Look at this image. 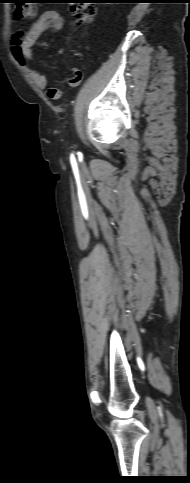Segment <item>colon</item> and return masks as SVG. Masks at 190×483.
<instances>
[{
  "label": "colon",
  "mask_w": 190,
  "mask_h": 483,
  "mask_svg": "<svg viewBox=\"0 0 190 483\" xmlns=\"http://www.w3.org/2000/svg\"><path fill=\"white\" fill-rule=\"evenodd\" d=\"M37 0H17L13 14L17 19H28L36 14ZM71 12L76 24L91 22L96 14L94 4L85 0H73L71 2ZM72 82V79L69 80Z\"/></svg>",
  "instance_id": "colon-1"
}]
</instances>
